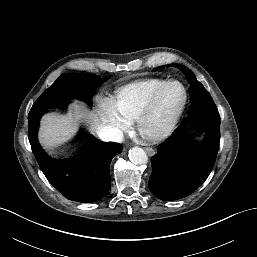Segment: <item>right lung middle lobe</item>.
<instances>
[{
	"instance_id": "1",
	"label": "right lung middle lobe",
	"mask_w": 257,
	"mask_h": 257,
	"mask_svg": "<svg viewBox=\"0 0 257 257\" xmlns=\"http://www.w3.org/2000/svg\"><path fill=\"white\" fill-rule=\"evenodd\" d=\"M102 82L103 79L94 74L60 76L34 103L29 113L28 124L36 125L43 111L64 107L72 98H79L92 105V90Z\"/></svg>"
}]
</instances>
